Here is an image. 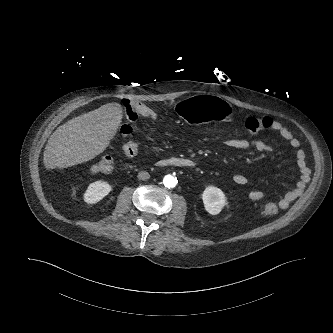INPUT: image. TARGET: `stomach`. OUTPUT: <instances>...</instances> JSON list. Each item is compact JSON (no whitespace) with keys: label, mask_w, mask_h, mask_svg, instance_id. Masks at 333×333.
<instances>
[{"label":"stomach","mask_w":333,"mask_h":333,"mask_svg":"<svg viewBox=\"0 0 333 333\" xmlns=\"http://www.w3.org/2000/svg\"><path fill=\"white\" fill-rule=\"evenodd\" d=\"M175 111L186 122L200 123L227 115L231 107L218 96L201 94L178 101Z\"/></svg>","instance_id":"obj_1"}]
</instances>
